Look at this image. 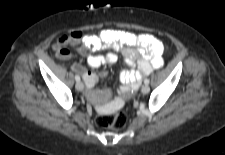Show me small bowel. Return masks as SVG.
<instances>
[{
    "label": "small bowel",
    "instance_id": "small-bowel-1",
    "mask_svg": "<svg viewBox=\"0 0 225 155\" xmlns=\"http://www.w3.org/2000/svg\"><path fill=\"white\" fill-rule=\"evenodd\" d=\"M64 36L67 38L63 46L80 44L78 52L82 55L108 47L113 50L105 55H87V64L90 68H98L106 63H115L118 59L117 52L121 53L125 64L131 68L120 74L122 87L119 95L109 98L104 103L99 93L90 94L101 113L105 111L118 113L122 110L126 106L124 97L138 88L142 77L163 65L162 54L166 50V46L151 34L136 35L122 30L103 29L97 34H83L80 31H74ZM53 49L57 57L61 59L69 57V51L61 54L56 43ZM73 69L82 74L86 87L89 89L97 84L101 76H104V74L98 75L86 70L80 64H74Z\"/></svg>",
    "mask_w": 225,
    "mask_h": 155
}]
</instances>
